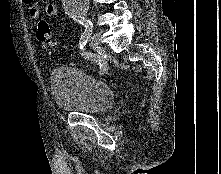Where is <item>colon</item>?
Masks as SVG:
<instances>
[{
	"mask_svg": "<svg viewBox=\"0 0 221 174\" xmlns=\"http://www.w3.org/2000/svg\"><path fill=\"white\" fill-rule=\"evenodd\" d=\"M37 39L40 42V44L45 48H49L53 44L51 28L46 20L41 19L38 22Z\"/></svg>",
	"mask_w": 221,
	"mask_h": 174,
	"instance_id": "obj_1",
	"label": "colon"
}]
</instances>
